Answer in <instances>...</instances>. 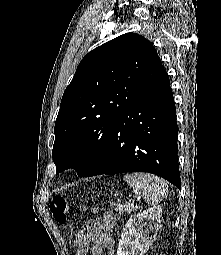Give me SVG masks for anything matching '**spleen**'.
Instances as JSON below:
<instances>
[{"label":"spleen","mask_w":221,"mask_h":255,"mask_svg":"<svg viewBox=\"0 0 221 255\" xmlns=\"http://www.w3.org/2000/svg\"><path fill=\"white\" fill-rule=\"evenodd\" d=\"M124 181L133 189L135 194L142 195L149 205L158 204L168 192L167 182L153 174H126Z\"/></svg>","instance_id":"3e777b00"}]
</instances>
